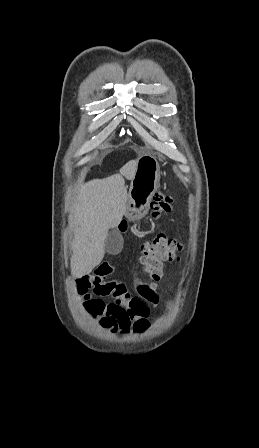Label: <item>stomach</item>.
<instances>
[{"instance_id": "1", "label": "stomach", "mask_w": 259, "mask_h": 448, "mask_svg": "<svg viewBox=\"0 0 259 448\" xmlns=\"http://www.w3.org/2000/svg\"><path fill=\"white\" fill-rule=\"evenodd\" d=\"M160 180V166L151 154H143L137 160V170L129 188L127 218L129 221L144 218L149 210V204L157 192Z\"/></svg>"}]
</instances>
